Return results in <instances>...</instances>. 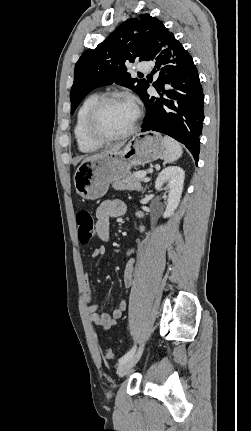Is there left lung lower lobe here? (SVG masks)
I'll list each match as a JSON object with an SVG mask.
<instances>
[{
	"label": "left lung lower lobe",
	"mask_w": 251,
	"mask_h": 431,
	"mask_svg": "<svg viewBox=\"0 0 251 431\" xmlns=\"http://www.w3.org/2000/svg\"><path fill=\"white\" fill-rule=\"evenodd\" d=\"M149 61L159 73L153 84L158 95L149 96L147 83L141 99L146 106L142 132L158 131L183 143L198 162L204 120V95L192 57L170 33L153 48Z\"/></svg>",
	"instance_id": "left-lung-lower-lobe-1"
}]
</instances>
